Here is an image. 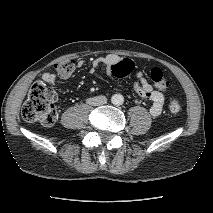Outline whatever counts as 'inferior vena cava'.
<instances>
[{
  "mask_svg": "<svg viewBox=\"0 0 213 213\" xmlns=\"http://www.w3.org/2000/svg\"><path fill=\"white\" fill-rule=\"evenodd\" d=\"M106 102L107 98L102 95L87 99V103L93 106H100L105 104Z\"/></svg>",
  "mask_w": 213,
  "mask_h": 213,
  "instance_id": "obj_1",
  "label": "inferior vena cava"
}]
</instances>
